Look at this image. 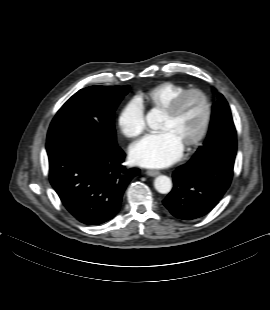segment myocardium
Here are the masks:
<instances>
[{
    "instance_id": "obj_1",
    "label": "myocardium",
    "mask_w": 270,
    "mask_h": 310,
    "mask_svg": "<svg viewBox=\"0 0 270 310\" xmlns=\"http://www.w3.org/2000/svg\"><path fill=\"white\" fill-rule=\"evenodd\" d=\"M189 95H197L201 98L204 104L205 114H204L203 124H202V127L199 133L191 141V143L186 148L183 149L184 153L192 152L196 147L200 145V143L204 140V138L206 137L208 133L210 123H211V118H212V105L209 100V97L201 89H198V88L185 89L184 91L177 94L171 100L169 105L162 111L163 116H165L167 119H173L178 114L183 100Z\"/></svg>"
}]
</instances>
